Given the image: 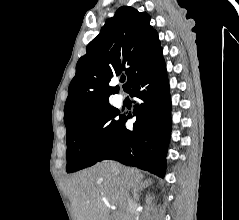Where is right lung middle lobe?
<instances>
[{
  "label": "right lung middle lobe",
  "instance_id": "dd1d6c3e",
  "mask_svg": "<svg viewBox=\"0 0 239 220\" xmlns=\"http://www.w3.org/2000/svg\"><path fill=\"white\" fill-rule=\"evenodd\" d=\"M118 114L111 105H107L83 115L67 129L68 173L98 162L120 123L121 117L114 120Z\"/></svg>",
  "mask_w": 239,
  "mask_h": 220
}]
</instances>
